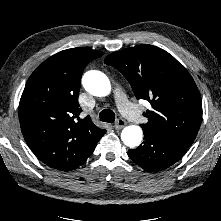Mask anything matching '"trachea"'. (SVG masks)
I'll return each mask as SVG.
<instances>
[{
	"mask_svg": "<svg viewBox=\"0 0 221 221\" xmlns=\"http://www.w3.org/2000/svg\"><path fill=\"white\" fill-rule=\"evenodd\" d=\"M99 118L103 122L113 123L115 121V114L110 109H104L100 112Z\"/></svg>",
	"mask_w": 221,
	"mask_h": 221,
	"instance_id": "1",
	"label": "trachea"
}]
</instances>
